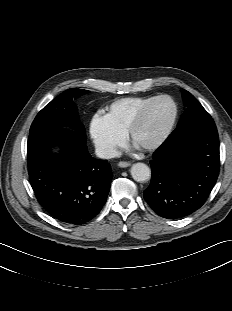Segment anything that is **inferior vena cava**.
Here are the masks:
<instances>
[{
    "mask_svg": "<svg viewBox=\"0 0 232 311\" xmlns=\"http://www.w3.org/2000/svg\"><path fill=\"white\" fill-rule=\"evenodd\" d=\"M95 153L99 158H102V159H110L118 155V152L116 151V149L108 145L97 146L95 149Z\"/></svg>",
    "mask_w": 232,
    "mask_h": 311,
    "instance_id": "obj_1",
    "label": "inferior vena cava"
}]
</instances>
